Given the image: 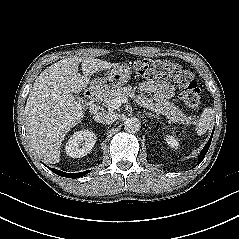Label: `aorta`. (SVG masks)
Wrapping results in <instances>:
<instances>
[{
	"mask_svg": "<svg viewBox=\"0 0 239 239\" xmlns=\"http://www.w3.org/2000/svg\"><path fill=\"white\" fill-rule=\"evenodd\" d=\"M141 128V123L138 118L130 117L124 121V129L127 132H137Z\"/></svg>",
	"mask_w": 239,
	"mask_h": 239,
	"instance_id": "762f6f07",
	"label": "aorta"
}]
</instances>
